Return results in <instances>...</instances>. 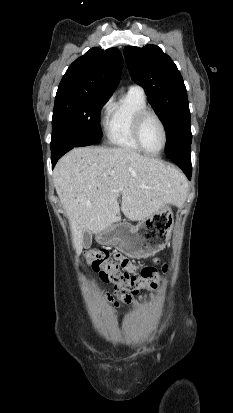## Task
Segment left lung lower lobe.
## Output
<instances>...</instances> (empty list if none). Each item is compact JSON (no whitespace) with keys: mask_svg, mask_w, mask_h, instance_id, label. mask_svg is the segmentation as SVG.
Wrapping results in <instances>:
<instances>
[{"mask_svg":"<svg viewBox=\"0 0 233 413\" xmlns=\"http://www.w3.org/2000/svg\"><path fill=\"white\" fill-rule=\"evenodd\" d=\"M174 163H176L186 174L187 178L190 180L191 179V172H192V166H191V156L187 157H172L170 158Z\"/></svg>","mask_w":233,"mask_h":413,"instance_id":"obj_1","label":"left lung lower lobe"}]
</instances>
